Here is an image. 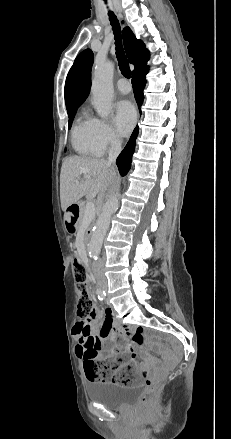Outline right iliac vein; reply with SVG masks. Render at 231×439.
Returning a JSON list of instances; mask_svg holds the SVG:
<instances>
[{
	"instance_id": "63e3f726",
	"label": "right iliac vein",
	"mask_w": 231,
	"mask_h": 439,
	"mask_svg": "<svg viewBox=\"0 0 231 439\" xmlns=\"http://www.w3.org/2000/svg\"><path fill=\"white\" fill-rule=\"evenodd\" d=\"M107 287V285L106 284H103V288H106Z\"/></svg>"
}]
</instances>
